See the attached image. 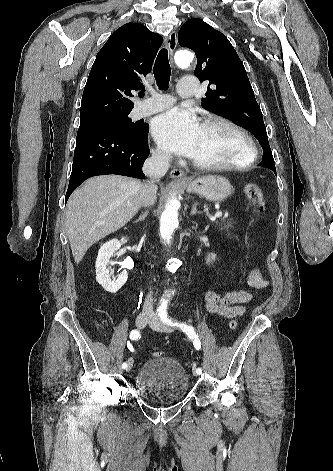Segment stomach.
<instances>
[{
    "label": "stomach",
    "mask_w": 333,
    "mask_h": 471,
    "mask_svg": "<svg viewBox=\"0 0 333 471\" xmlns=\"http://www.w3.org/2000/svg\"><path fill=\"white\" fill-rule=\"evenodd\" d=\"M182 186L189 193L198 194L213 202L224 201L232 192L229 180L219 175H207L194 179Z\"/></svg>",
    "instance_id": "obj_1"
}]
</instances>
